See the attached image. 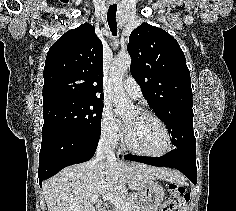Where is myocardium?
Masks as SVG:
<instances>
[{
    "instance_id": "obj_1",
    "label": "myocardium",
    "mask_w": 236,
    "mask_h": 211,
    "mask_svg": "<svg viewBox=\"0 0 236 211\" xmlns=\"http://www.w3.org/2000/svg\"><path fill=\"white\" fill-rule=\"evenodd\" d=\"M136 112L142 116L151 118L152 120H154L156 123H158L162 127V129L165 133V136H166V146L159 153H148V152L138 150L130 143L129 138H128V134H127V129L124 125L123 141H122L123 147L132 153H135V154L141 155V156H145V157H163V156L167 155L171 151L172 145H173L172 136H171V133H170L167 125L159 117H157L155 114H153L152 112H150L148 110L137 109Z\"/></svg>"
}]
</instances>
